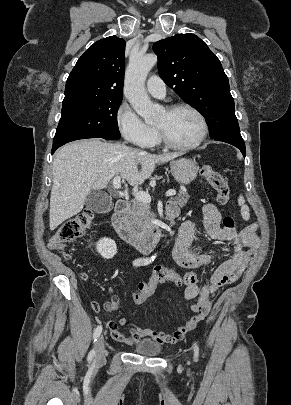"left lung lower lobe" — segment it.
<instances>
[{"mask_svg": "<svg viewBox=\"0 0 291 405\" xmlns=\"http://www.w3.org/2000/svg\"><path fill=\"white\" fill-rule=\"evenodd\" d=\"M216 141H222L229 143L231 145H234L235 147L239 148L243 154V156H246V148H245V143L243 141V138H234V137H220L217 139H214Z\"/></svg>", "mask_w": 291, "mask_h": 405, "instance_id": "0a47b994", "label": "left lung lower lobe"}]
</instances>
